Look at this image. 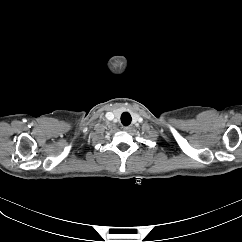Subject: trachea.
Returning a JSON list of instances; mask_svg holds the SVG:
<instances>
[{"mask_svg": "<svg viewBox=\"0 0 242 242\" xmlns=\"http://www.w3.org/2000/svg\"><path fill=\"white\" fill-rule=\"evenodd\" d=\"M121 122L124 126H128L131 123V115L128 112H124L121 115Z\"/></svg>", "mask_w": 242, "mask_h": 242, "instance_id": "1", "label": "trachea"}]
</instances>
